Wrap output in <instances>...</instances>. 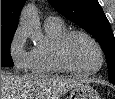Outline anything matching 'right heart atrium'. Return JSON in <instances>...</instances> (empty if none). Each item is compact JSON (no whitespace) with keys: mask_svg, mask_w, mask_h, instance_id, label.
<instances>
[{"mask_svg":"<svg viewBox=\"0 0 115 99\" xmlns=\"http://www.w3.org/2000/svg\"><path fill=\"white\" fill-rule=\"evenodd\" d=\"M26 40V30L18 27L9 43V56L18 70H25L29 66L30 51L26 48Z\"/></svg>","mask_w":115,"mask_h":99,"instance_id":"1","label":"right heart atrium"}]
</instances>
